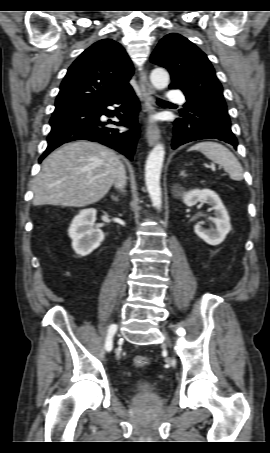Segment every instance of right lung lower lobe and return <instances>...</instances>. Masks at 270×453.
Wrapping results in <instances>:
<instances>
[{
	"mask_svg": "<svg viewBox=\"0 0 270 453\" xmlns=\"http://www.w3.org/2000/svg\"><path fill=\"white\" fill-rule=\"evenodd\" d=\"M113 105L118 107L113 110L110 108ZM138 111L139 102L131 86L100 101L56 107L50 120L48 147L39 162L58 146L74 140L99 142L132 160L139 136ZM102 115L116 116L120 122L101 121ZM108 124L129 127L130 130L120 132L109 127Z\"/></svg>",
	"mask_w": 270,
	"mask_h": 453,
	"instance_id": "98d812e1",
	"label": "right lung lower lobe"
}]
</instances>
